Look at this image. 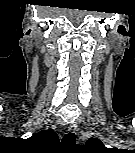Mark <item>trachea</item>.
<instances>
[{
	"mask_svg": "<svg viewBox=\"0 0 135 153\" xmlns=\"http://www.w3.org/2000/svg\"><path fill=\"white\" fill-rule=\"evenodd\" d=\"M63 143L67 145H71L75 143V134L68 133L63 137Z\"/></svg>",
	"mask_w": 135,
	"mask_h": 153,
	"instance_id": "3493384b",
	"label": "trachea"
}]
</instances>
